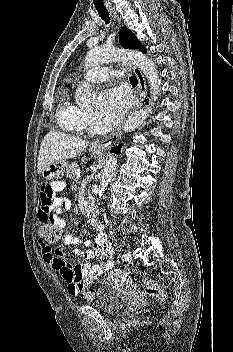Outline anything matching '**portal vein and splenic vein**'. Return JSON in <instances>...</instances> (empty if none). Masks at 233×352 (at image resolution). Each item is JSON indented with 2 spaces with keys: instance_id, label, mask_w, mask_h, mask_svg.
<instances>
[{
  "instance_id": "1",
  "label": "portal vein and splenic vein",
  "mask_w": 233,
  "mask_h": 352,
  "mask_svg": "<svg viewBox=\"0 0 233 352\" xmlns=\"http://www.w3.org/2000/svg\"><path fill=\"white\" fill-rule=\"evenodd\" d=\"M75 174H76L77 179L80 178V170L79 169L75 171Z\"/></svg>"
}]
</instances>
